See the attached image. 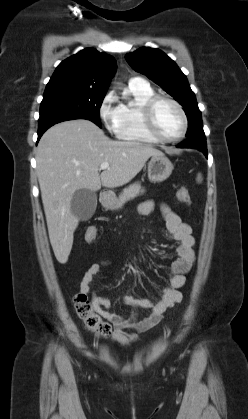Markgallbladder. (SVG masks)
<instances>
[{
    "instance_id": "1",
    "label": "gallbladder",
    "mask_w": 248,
    "mask_h": 419,
    "mask_svg": "<svg viewBox=\"0 0 248 419\" xmlns=\"http://www.w3.org/2000/svg\"><path fill=\"white\" fill-rule=\"evenodd\" d=\"M97 206V194L90 189L77 190L71 200V212L82 221L89 220Z\"/></svg>"
}]
</instances>
